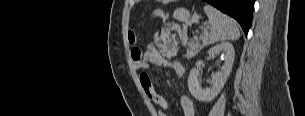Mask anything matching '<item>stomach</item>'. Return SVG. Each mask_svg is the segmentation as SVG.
I'll return each instance as SVG.
<instances>
[{"mask_svg": "<svg viewBox=\"0 0 305 116\" xmlns=\"http://www.w3.org/2000/svg\"><path fill=\"white\" fill-rule=\"evenodd\" d=\"M154 14L156 16H160V17H163V18H167V16L164 14V12L160 9H157L154 11ZM173 17L179 21V22H182V23H186V24H192L196 21H198L199 19V16L198 15H194L191 17L189 11L185 8H178L174 11L173 13Z\"/></svg>", "mask_w": 305, "mask_h": 116, "instance_id": "0dacf381", "label": "stomach"}]
</instances>
